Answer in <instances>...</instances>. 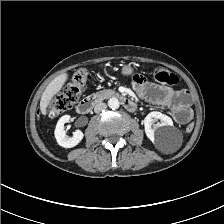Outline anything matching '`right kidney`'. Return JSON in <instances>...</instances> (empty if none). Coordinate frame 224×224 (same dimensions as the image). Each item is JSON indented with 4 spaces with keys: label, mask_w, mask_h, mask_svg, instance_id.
I'll return each mask as SVG.
<instances>
[{
    "label": "right kidney",
    "mask_w": 224,
    "mask_h": 224,
    "mask_svg": "<svg viewBox=\"0 0 224 224\" xmlns=\"http://www.w3.org/2000/svg\"><path fill=\"white\" fill-rule=\"evenodd\" d=\"M70 118V115H63L58 120L54 131L57 143L64 148H72L78 145L84 137L83 132L80 130H76L72 137L66 135L64 124L69 122Z\"/></svg>",
    "instance_id": "obj_1"
}]
</instances>
